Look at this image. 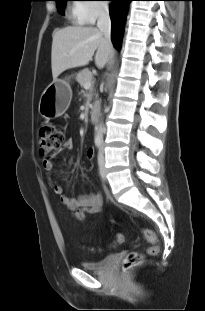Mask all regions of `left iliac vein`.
Instances as JSON below:
<instances>
[{
  "label": "left iliac vein",
  "instance_id": "4c4485c4",
  "mask_svg": "<svg viewBox=\"0 0 205 311\" xmlns=\"http://www.w3.org/2000/svg\"><path fill=\"white\" fill-rule=\"evenodd\" d=\"M98 165H99V172L100 176L103 180L106 178V170H105V155L103 146L100 147L99 154H98Z\"/></svg>",
  "mask_w": 205,
  "mask_h": 311
}]
</instances>
